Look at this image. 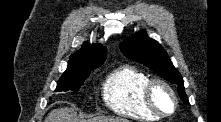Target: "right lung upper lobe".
Masks as SVG:
<instances>
[{
    "mask_svg": "<svg viewBox=\"0 0 221 122\" xmlns=\"http://www.w3.org/2000/svg\"><path fill=\"white\" fill-rule=\"evenodd\" d=\"M106 58V49L99 44L85 42L80 51L70 57L64 73H80L98 67Z\"/></svg>",
    "mask_w": 221,
    "mask_h": 122,
    "instance_id": "cb5924a9",
    "label": "right lung upper lobe"
}]
</instances>
